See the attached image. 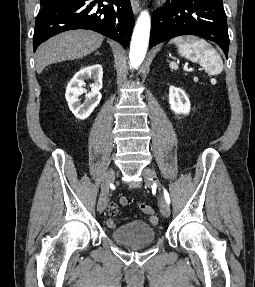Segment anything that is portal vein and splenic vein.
Returning a JSON list of instances; mask_svg holds the SVG:
<instances>
[{
	"label": "portal vein and splenic vein",
	"mask_w": 255,
	"mask_h": 287,
	"mask_svg": "<svg viewBox=\"0 0 255 287\" xmlns=\"http://www.w3.org/2000/svg\"><path fill=\"white\" fill-rule=\"evenodd\" d=\"M188 64H185L184 66V72H191L190 68H187Z\"/></svg>",
	"instance_id": "obj_1"
}]
</instances>
